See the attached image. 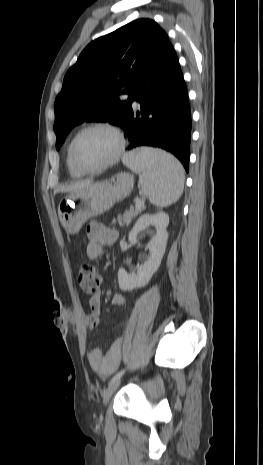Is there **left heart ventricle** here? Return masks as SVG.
<instances>
[{"label": "left heart ventricle", "mask_w": 263, "mask_h": 465, "mask_svg": "<svg viewBox=\"0 0 263 465\" xmlns=\"http://www.w3.org/2000/svg\"><path fill=\"white\" fill-rule=\"evenodd\" d=\"M117 149L114 135L105 129H93L78 139L75 147L78 162L88 168L96 167L111 159Z\"/></svg>", "instance_id": "left-heart-ventricle-1"}]
</instances>
